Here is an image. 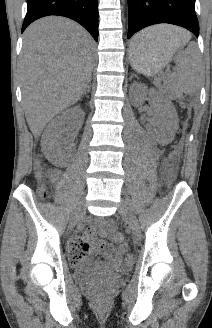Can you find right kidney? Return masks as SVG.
Returning a JSON list of instances; mask_svg holds the SVG:
<instances>
[{
	"instance_id": "1",
	"label": "right kidney",
	"mask_w": 212,
	"mask_h": 328,
	"mask_svg": "<svg viewBox=\"0 0 212 328\" xmlns=\"http://www.w3.org/2000/svg\"><path fill=\"white\" fill-rule=\"evenodd\" d=\"M84 119V112L80 106L72 107L61 115L57 116L51 123L47 126L42 140H44L46 152L53 155L56 151L61 149L62 137L61 128L65 124H69L71 129H78Z\"/></svg>"
}]
</instances>
